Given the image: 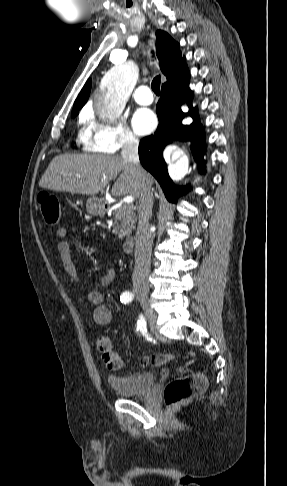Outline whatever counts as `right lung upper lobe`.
<instances>
[{"label": "right lung upper lobe", "instance_id": "1", "mask_svg": "<svg viewBox=\"0 0 287 486\" xmlns=\"http://www.w3.org/2000/svg\"><path fill=\"white\" fill-rule=\"evenodd\" d=\"M156 53L159 59L160 69L167 78V82L162 87L175 85L189 77L185 58H182L179 50V44L166 32L161 30L156 32ZM90 89L91 79L86 82L75 100L72 113H78V110L87 102Z\"/></svg>", "mask_w": 287, "mask_h": 486}]
</instances>
